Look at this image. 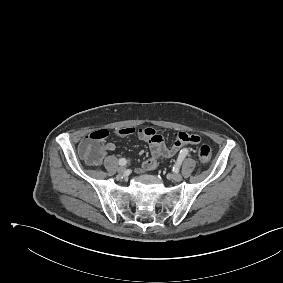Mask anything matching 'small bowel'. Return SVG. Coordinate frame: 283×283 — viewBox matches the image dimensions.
Segmentation results:
<instances>
[{"label": "small bowel", "instance_id": "small-bowel-1", "mask_svg": "<svg viewBox=\"0 0 283 283\" xmlns=\"http://www.w3.org/2000/svg\"><path fill=\"white\" fill-rule=\"evenodd\" d=\"M114 133L119 137L136 135L139 139L149 143L151 156L143 162L140 172L155 170L158 166L159 159L173 157L181 150L182 147L196 145L201 142V137L197 134L179 132L175 134L173 144L168 147L165 144L163 135L150 127H123L116 129ZM114 149L115 144L112 142H107L103 145L104 152H110Z\"/></svg>", "mask_w": 283, "mask_h": 283}]
</instances>
